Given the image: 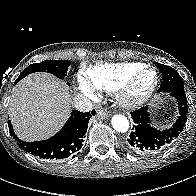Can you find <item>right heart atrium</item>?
Wrapping results in <instances>:
<instances>
[{
    "label": "right heart atrium",
    "instance_id": "d8ad5b80",
    "mask_svg": "<svg viewBox=\"0 0 196 196\" xmlns=\"http://www.w3.org/2000/svg\"><path fill=\"white\" fill-rule=\"evenodd\" d=\"M78 83L79 88L87 95L95 97L96 96V89L92 86V84L89 82L87 77L80 74L78 76Z\"/></svg>",
    "mask_w": 196,
    "mask_h": 196
}]
</instances>
